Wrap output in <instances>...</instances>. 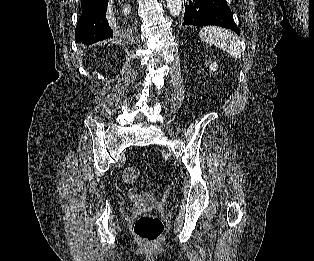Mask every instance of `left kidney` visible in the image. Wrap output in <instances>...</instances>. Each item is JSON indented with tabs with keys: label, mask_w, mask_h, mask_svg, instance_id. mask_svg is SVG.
I'll list each match as a JSON object with an SVG mask.
<instances>
[{
	"label": "left kidney",
	"mask_w": 314,
	"mask_h": 261,
	"mask_svg": "<svg viewBox=\"0 0 314 261\" xmlns=\"http://www.w3.org/2000/svg\"><path fill=\"white\" fill-rule=\"evenodd\" d=\"M217 67H218V65H217V63L216 62H210V64H209V69L211 70V71H216L217 70Z\"/></svg>",
	"instance_id": "left-kidney-1"
}]
</instances>
